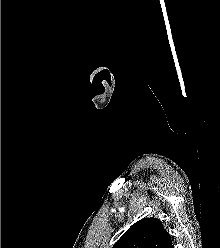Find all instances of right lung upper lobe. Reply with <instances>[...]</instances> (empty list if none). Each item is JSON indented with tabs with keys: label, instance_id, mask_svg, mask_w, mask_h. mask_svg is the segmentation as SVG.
Instances as JSON below:
<instances>
[{
	"label": "right lung upper lobe",
	"instance_id": "right-lung-upper-lobe-1",
	"mask_svg": "<svg viewBox=\"0 0 220 248\" xmlns=\"http://www.w3.org/2000/svg\"><path fill=\"white\" fill-rule=\"evenodd\" d=\"M169 233L157 218H144L133 224L112 248H170Z\"/></svg>",
	"mask_w": 220,
	"mask_h": 248
}]
</instances>
